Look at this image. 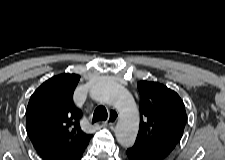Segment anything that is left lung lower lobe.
Wrapping results in <instances>:
<instances>
[{"mask_svg": "<svg viewBox=\"0 0 225 160\" xmlns=\"http://www.w3.org/2000/svg\"><path fill=\"white\" fill-rule=\"evenodd\" d=\"M127 160H151L150 158L140 154L139 152L133 150L132 148H128L126 150Z\"/></svg>", "mask_w": 225, "mask_h": 160, "instance_id": "left-lung-lower-lobe-1", "label": "left lung lower lobe"}]
</instances>
